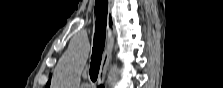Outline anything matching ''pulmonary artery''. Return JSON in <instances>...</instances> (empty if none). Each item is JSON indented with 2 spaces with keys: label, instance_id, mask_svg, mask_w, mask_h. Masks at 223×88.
Instances as JSON below:
<instances>
[{
  "label": "pulmonary artery",
  "instance_id": "e3ab8cb5",
  "mask_svg": "<svg viewBox=\"0 0 223 88\" xmlns=\"http://www.w3.org/2000/svg\"><path fill=\"white\" fill-rule=\"evenodd\" d=\"M81 88H89L90 86L87 83H84L80 86Z\"/></svg>",
  "mask_w": 223,
  "mask_h": 88
}]
</instances>
